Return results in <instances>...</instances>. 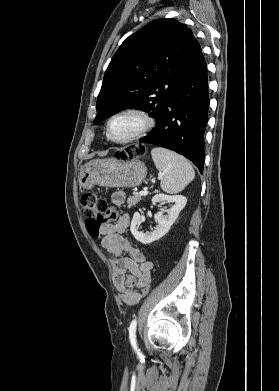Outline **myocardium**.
Returning a JSON list of instances; mask_svg holds the SVG:
<instances>
[{"label":"myocardium","mask_w":279,"mask_h":391,"mask_svg":"<svg viewBox=\"0 0 279 391\" xmlns=\"http://www.w3.org/2000/svg\"><path fill=\"white\" fill-rule=\"evenodd\" d=\"M123 115H134L140 119L141 123H140V126L138 127V129L136 131H134L131 135H129L128 137H126L124 139L117 140V139L112 138V136L110 135V126H111V123L113 122L114 119H116L120 116H123ZM153 126H154V120L151 117V115L148 112H146L145 110L137 108V107L122 108V109L116 111L115 113H113L108 118L107 123H106V138L110 142L115 143V144H127V143L133 142L135 140H138L141 137H143L144 135H146L148 133V131H150V129Z\"/></svg>","instance_id":"f54148a6"}]
</instances>
